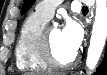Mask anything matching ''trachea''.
<instances>
[{
    "instance_id": "obj_1",
    "label": "trachea",
    "mask_w": 107,
    "mask_h": 75,
    "mask_svg": "<svg viewBox=\"0 0 107 75\" xmlns=\"http://www.w3.org/2000/svg\"><path fill=\"white\" fill-rule=\"evenodd\" d=\"M83 9H88V7L84 6Z\"/></svg>"
}]
</instances>
